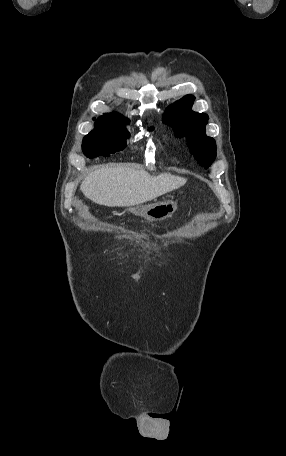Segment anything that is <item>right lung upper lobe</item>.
<instances>
[{
    "mask_svg": "<svg viewBox=\"0 0 286 456\" xmlns=\"http://www.w3.org/2000/svg\"><path fill=\"white\" fill-rule=\"evenodd\" d=\"M104 116L112 118V119L120 120L123 122H129V120L127 118L123 117L122 115H120L118 113H108V114H104Z\"/></svg>",
    "mask_w": 286,
    "mask_h": 456,
    "instance_id": "right-lung-upper-lobe-1",
    "label": "right lung upper lobe"
}]
</instances>
